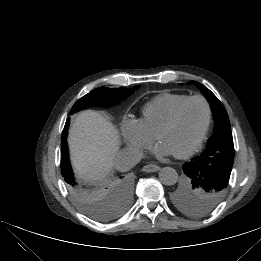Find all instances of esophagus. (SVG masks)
Listing matches in <instances>:
<instances>
[{
	"instance_id": "obj_1",
	"label": "esophagus",
	"mask_w": 261,
	"mask_h": 261,
	"mask_svg": "<svg viewBox=\"0 0 261 261\" xmlns=\"http://www.w3.org/2000/svg\"><path fill=\"white\" fill-rule=\"evenodd\" d=\"M160 170V166L159 165H156V164H148V165H145L143 168H142V171L143 172H156Z\"/></svg>"
}]
</instances>
